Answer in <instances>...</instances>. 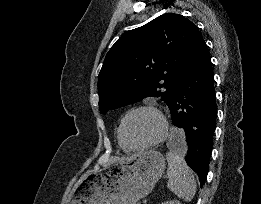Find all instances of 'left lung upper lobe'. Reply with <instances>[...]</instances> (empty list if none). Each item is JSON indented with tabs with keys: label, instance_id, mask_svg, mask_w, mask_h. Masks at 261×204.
Masks as SVG:
<instances>
[{
	"label": "left lung upper lobe",
	"instance_id": "obj_1",
	"mask_svg": "<svg viewBox=\"0 0 261 204\" xmlns=\"http://www.w3.org/2000/svg\"><path fill=\"white\" fill-rule=\"evenodd\" d=\"M198 33L184 16L166 13L119 38L99 73L100 112L149 96L169 107Z\"/></svg>",
	"mask_w": 261,
	"mask_h": 204
}]
</instances>
